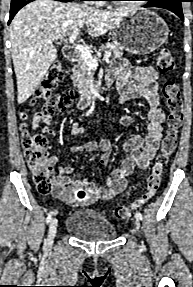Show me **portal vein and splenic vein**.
Masks as SVG:
<instances>
[{"label":"portal vein and splenic vein","instance_id":"obj_1","mask_svg":"<svg viewBox=\"0 0 193 287\" xmlns=\"http://www.w3.org/2000/svg\"><path fill=\"white\" fill-rule=\"evenodd\" d=\"M79 35V30H75L70 36H69V43L73 44L76 51L80 53V56L84 59L85 63L91 67L92 69H95L98 67V61L93 55L90 53L89 50H87L84 46L80 44H75V40L77 36ZM111 56V53L107 51L104 54L103 60L107 61L109 60Z\"/></svg>","mask_w":193,"mask_h":287}]
</instances>
